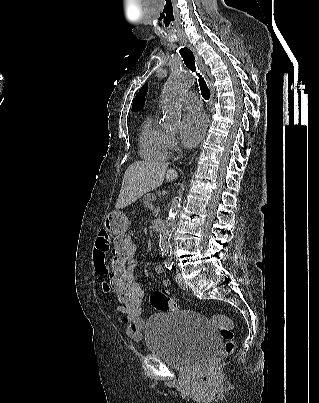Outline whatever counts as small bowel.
<instances>
[{
	"label": "small bowel",
	"mask_w": 319,
	"mask_h": 403,
	"mask_svg": "<svg viewBox=\"0 0 319 403\" xmlns=\"http://www.w3.org/2000/svg\"><path fill=\"white\" fill-rule=\"evenodd\" d=\"M109 241L110 238L107 231H100L94 248L93 261L99 276L104 277L103 286L105 291L112 295L113 291H109L113 287V272L108 269ZM155 271L156 273H162L163 266L161 264H156ZM170 286L171 282L169 280H164L162 282L163 288H169ZM142 295L144 298V291H142ZM117 310L122 313L126 319L127 335L134 341H140L142 339V331L144 327V321L140 317L141 313H124L123 304H118Z\"/></svg>",
	"instance_id": "obj_1"
}]
</instances>
